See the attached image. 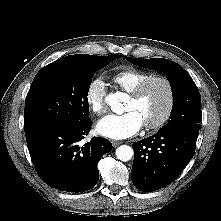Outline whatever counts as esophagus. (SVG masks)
I'll return each mask as SVG.
<instances>
[{
	"label": "esophagus",
	"instance_id": "obj_1",
	"mask_svg": "<svg viewBox=\"0 0 221 221\" xmlns=\"http://www.w3.org/2000/svg\"><path fill=\"white\" fill-rule=\"evenodd\" d=\"M121 143H122L121 141H112L113 147H117V146H119Z\"/></svg>",
	"mask_w": 221,
	"mask_h": 221
}]
</instances>
